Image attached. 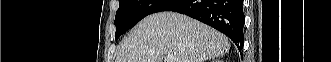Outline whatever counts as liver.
Returning a JSON list of instances; mask_svg holds the SVG:
<instances>
[{
	"mask_svg": "<svg viewBox=\"0 0 331 62\" xmlns=\"http://www.w3.org/2000/svg\"><path fill=\"white\" fill-rule=\"evenodd\" d=\"M230 42L217 30L175 12H160L141 20L122 41L115 62H205L226 54Z\"/></svg>",
	"mask_w": 331,
	"mask_h": 62,
	"instance_id": "6515ba94",
	"label": "liver"
}]
</instances>
